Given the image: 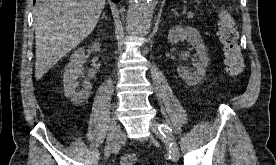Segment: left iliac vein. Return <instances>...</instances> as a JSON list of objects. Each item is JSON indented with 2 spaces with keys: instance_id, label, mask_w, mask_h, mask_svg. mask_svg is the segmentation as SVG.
<instances>
[{
  "instance_id": "1",
  "label": "left iliac vein",
  "mask_w": 276,
  "mask_h": 165,
  "mask_svg": "<svg viewBox=\"0 0 276 165\" xmlns=\"http://www.w3.org/2000/svg\"><path fill=\"white\" fill-rule=\"evenodd\" d=\"M150 128L155 134L161 135L160 134L161 132L159 133V124L157 121L151 120ZM161 137H162L164 143L166 144V146L168 147L172 161L177 162L179 159V150H178V146H177V143L175 141L173 134L169 133L166 137L162 136V135H161Z\"/></svg>"
}]
</instances>
